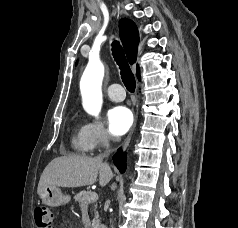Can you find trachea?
<instances>
[{
    "instance_id": "3493384b",
    "label": "trachea",
    "mask_w": 238,
    "mask_h": 228,
    "mask_svg": "<svg viewBox=\"0 0 238 228\" xmlns=\"http://www.w3.org/2000/svg\"><path fill=\"white\" fill-rule=\"evenodd\" d=\"M112 54L120 68L121 78L125 87L129 92H134L136 87L135 77L126 60L124 51L118 41H114L112 43Z\"/></svg>"
}]
</instances>
